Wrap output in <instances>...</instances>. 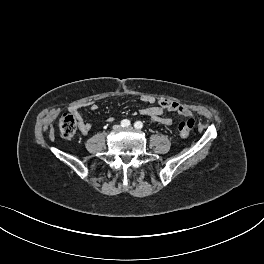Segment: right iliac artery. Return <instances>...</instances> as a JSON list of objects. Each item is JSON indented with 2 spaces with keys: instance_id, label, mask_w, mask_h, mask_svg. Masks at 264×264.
I'll return each mask as SVG.
<instances>
[{
  "instance_id": "right-iliac-artery-1",
  "label": "right iliac artery",
  "mask_w": 264,
  "mask_h": 264,
  "mask_svg": "<svg viewBox=\"0 0 264 264\" xmlns=\"http://www.w3.org/2000/svg\"><path fill=\"white\" fill-rule=\"evenodd\" d=\"M130 121L128 120V119H124V120H122L121 121V126L122 127H128V126H130Z\"/></svg>"
}]
</instances>
